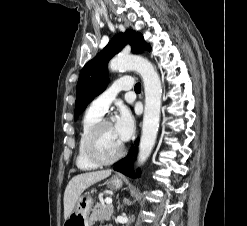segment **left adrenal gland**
I'll list each match as a JSON object with an SVG mask.
<instances>
[{"mask_svg": "<svg viewBox=\"0 0 247 226\" xmlns=\"http://www.w3.org/2000/svg\"><path fill=\"white\" fill-rule=\"evenodd\" d=\"M121 208L120 201L118 200V210Z\"/></svg>", "mask_w": 247, "mask_h": 226, "instance_id": "1", "label": "left adrenal gland"}]
</instances>
